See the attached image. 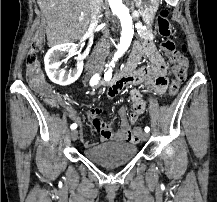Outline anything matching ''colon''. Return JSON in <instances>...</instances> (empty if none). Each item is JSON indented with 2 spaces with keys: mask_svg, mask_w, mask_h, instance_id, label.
Wrapping results in <instances>:
<instances>
[{
  "mask_svg": "<svg viewBox=\"0 0 217 202\" xmlns=\"http://www.w3.org/2000/svg\"><path fill=\"white\" fill-rule=\"evenodd\" d=\"M157 27L159 35L162 38L161 46L164 53L168 56L173 64L172 73H177V79H187L189 69V61L185 55V47L177 48L175 41L171 38L172 24L169 19V10L162 8L157 15ZM47 37L42 33L36 35L35 41H32V46L29 49L25 60V76L28 83L33 87V91L45 98L47 103L56 106L57 103H62V93H52L54 86H50L40 72V63L38 52L42 48V42L46 41ZM154 71V70H153ZM181 83L172 81L170 88L167 90L169 96H175L180 88ZM133 132H138V127L132 128Z\"/></svg>",
  "mask_w": 217,
  "mask_h": 202,
  "instance_id": "5ec220e1",
  "label": "colon"
}]
</instances>
